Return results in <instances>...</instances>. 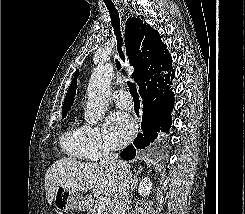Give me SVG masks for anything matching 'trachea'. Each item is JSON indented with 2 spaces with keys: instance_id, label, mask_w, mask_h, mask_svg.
I'll return each instance as SVG.
<instances>
[{
  "instance_id": "trachea-1",
  "label": "trachea",
  "mask_w": 245,
  "mask_h": 214,
  "mask_svg": "<svg viewBox=\"0 0 245 214\" xmlns=\"http://www.w3.org/2000/svg\"><path fill=\"white\" fill-rule=\"evenodd\" d=\"M107 9L109 10L110 17L112 20V26L114 27L116 39H117V47H118V52L120 54V57L122 60H125V56L122 52V38H121V33H120V19L117 10L115 9L114 4H106ZM130 94L133 97L134 103H140L139 100V95L137 92L136 85L130 81L127 82Z\"/></svg>"
}]
</instances>
